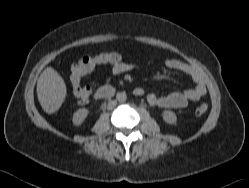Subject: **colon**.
Returning <instances> with one entry per match:
<instances>
[{
    "label": "colon",
    "instance_id": "obj_1",
    "mask_svg": "<svg viewBox=\"0 0 249 188\" xmlns=\"http://www.w3.org/2000/svg\"><path fill=\"white\" fill-rule=\"evenodd\" d=\"M120 59L117 53H101L95 56H83L71 66V82L73 84V93L77 103L83 105L89 101L91 87L82 85L81 81L85 75L93 70L99 64L115 63ZM208 106L201 103L195 110L196 116H202L206 113Z\"/></svg>",
    "mask_w": 249,
    "mask_h": 188
}]
</instances>
